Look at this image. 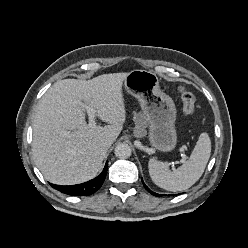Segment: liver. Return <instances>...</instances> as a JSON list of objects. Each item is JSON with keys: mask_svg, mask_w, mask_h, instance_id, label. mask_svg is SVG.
Segmentation results:
<instances>
[{"mask_svg": "<svg viewBox=\"0 0 248 248\" xmlns=\"http://www.w3.org/2000/svg\"><path fill=\"white\" fill-rule=\"evenodd\" d=\"M127 75L64 79L46 91L33 117L32 153L47 181L73 185L98 174L107 153L100 142H114L126 119L122 85ZM84 106L95 109V115L109 125L90 127Z\"/></svg>", "mask_w": 248, "mask_h": 248, "instance_id": "1", "label": "liver"}]
</instances>
